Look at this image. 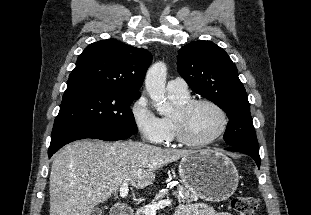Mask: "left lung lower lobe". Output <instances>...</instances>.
Wrapping results in <instances>:
<instances>
[{
    "mask_svg": "<svg viewBox=\"0 0 311 215\" xmlns=\"http://www.w3.org/2000/svg\"><path fill=\"white\" fill-rule=\"evenodd\" d=\"M226 150L245 153V154L251 156L255 160L256 164L258 166H260L261 159H260L258 151H256V150H253V149H250L247 147H241V146L228 147V148H226Z\"/></svg>",
    "mask_w": 311,
    "mask_h": 215,
    "instance_id": "left-lung-lower-lobe-1",
    "label": "left lung lower lobe"
}]
</instances>
